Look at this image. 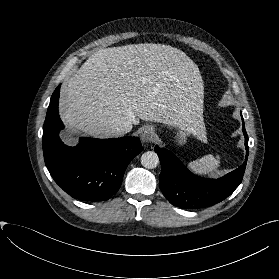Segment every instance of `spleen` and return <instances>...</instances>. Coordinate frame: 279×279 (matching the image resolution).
<instances>
[{
	"mask_svg": "<svg viewBox=\"0 0 279 279\" xmlns=\"http://www.w3.org/2000/svg\"><path fill=\"white\" fill-rule=\"evenodd\" d=\"M220 165L219 155H206L200 159L190 162L187 166L188 168L199 175L214 174L216 169Z\"/></svg>",
	"mask_w": 279,
	"mask_h": 279,
	"instance_id": "3e777b00",
	"label": "spleen"
}]
</instances>
